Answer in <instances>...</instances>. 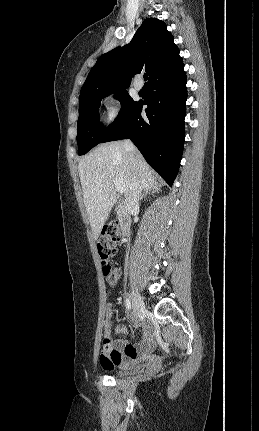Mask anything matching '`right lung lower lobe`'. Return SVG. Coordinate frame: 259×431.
<instances>
[{
	"instance_id": "98d812e1",
	"label": "right lung lower lobe",
	"mask_w": 259,
	"mask_h": 431,
	"mask_svg": "<svg viewBox=\"0 0 259 431\" xmlns=\"http://www.w3.org/2000/svg\"><path fill=\"white\" fill-rule=\"evenodd\" d=\"M187 77L183 62L148 84V98L139 101L104 142L131 139L148 164L172 186L185 137ZM143 105L147 118L141 117Z\"/></svg>"
}]
</instances>
